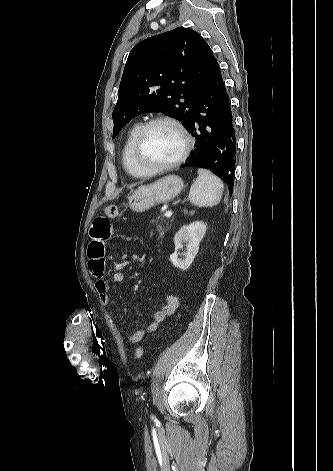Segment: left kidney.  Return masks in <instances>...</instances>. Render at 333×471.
<instances>
[{
    "instance_id": "obj_1",
    "label": "left kidney",
    "mask_w": 333,
    "mask_h": 471,
    "mask_svg": "<svg viewBox=\"0 0 333 471\" xmlns=\"http://www.w3.org/2000/svg\"><path fill=\"white\" fill-rule=\"evenodd\" d=\"M206 232V224L204 222H193L189 225L183 226L174 237L176 250L170 255V261L173 266L181 270H187L192 264L195 256L199 250V243L203 239ZM183 243H186V252L181 253ZM183 255L184 258L180 259L178 256Z\"/></svg>"
}]
</instances>
